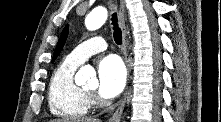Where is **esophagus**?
Returning <instances> with one entry per match:
<instances>
[{"label":"esophagus","instance_id":"1","mask_svg":"<svg viewBox=\"0 0 221 122\" xmlns=\"http://www.w3.org/2000/svg\"><path fill=\"white\" fill-rule=\"evenodd\" d=\"M125 2L124 0H120L119 2V10H118V18H119V25L122 31V52L124 55V60L126 63L127 67V86L125 90V94L123 99L121 100L118 108L114 112V114L110 117L108 122H119L124 110L125 102H126V97L128 94V83H129V77H130V59H129V54H128V43H127V29H126V24H125Z\"/></svg>","mask_w":221,"mask_h":122}]
</instances>
